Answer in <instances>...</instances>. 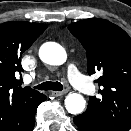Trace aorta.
Segmentation results:
<instances>
[{
  "mask_svg": "<svg viewBox=\"0 0 131 131\" xmlns=\"http://www.w3.org/2000/svg\"><path fill=\"white\" fill-rule=\"evenodd\" d=\"M40 59L50 65H62L67 58L66 52L57 43H45L39 51ZM85 99L82 95L71 93L65 98V107L71 114H79L85 108Z\"/></svg>",
  "mask_w": 131,
  "mask_h": 131,
  "instance_id": "762f6f07",
  "label": "aorta"
}]
</instances>
